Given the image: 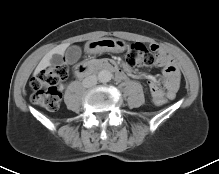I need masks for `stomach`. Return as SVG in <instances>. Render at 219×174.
<instances>
[{
	"instance_id": "1",
	"label": "stomach",
	"mask_w": 219,
	"mask_h": 174,
	"mask_svg": "<svg viewBox=\"0 0 219 174\" xmlns=\"http://www.w3.org/2000/svg\"><path fill=\"white\" fill-rule=\"evenodd\" d=\"M86 47L90 53L123 51L126 48V43L120 39L101 38L88 42Z\"/></svg>"
}]
</instances>
